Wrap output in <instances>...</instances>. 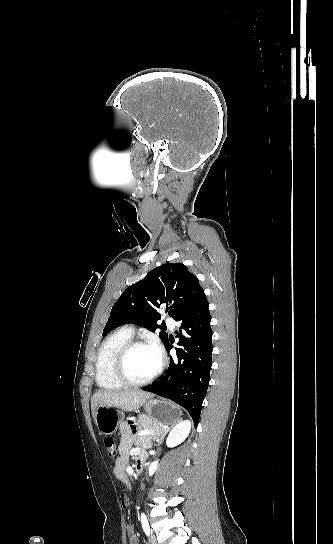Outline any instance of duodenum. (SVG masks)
<instances>
[{
  "instance_id": "obj_1",
  "label": "duodenum",
  "mask_w": 333,
  "mask_h": 544,
  "mask_svg": "<svg viewBox=\"0 0 333 544\" xmlns=\"http://www.w3.org/2000/svg\"><path fill=\"white\" fill-rule=\"evenodd\" d=\"M145 464H146L145 454L143 452L138 453L135 459V465H134L135 470L137 472L142 471L145 467Z\"/></svg>"
}]
</instances>
